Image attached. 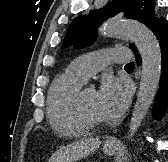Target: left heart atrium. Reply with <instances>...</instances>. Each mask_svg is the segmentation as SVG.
<instances>
[{"label":"left heart atrium","instance_id":"39dd6f15","mask_svg":"<svg viewBox=\"0 0 168 162\" xmlns=\"http://www.w3.org/2000/svg\"><path fill=\"white\" fill-rule=\"evenodd\" d=\"M130 98L129 85L126 81L113 76H106L97 93L99 113L103 120H113L125 110Z\"/></svg>","mask_w":168,"mask_h":162}]
</instances>
